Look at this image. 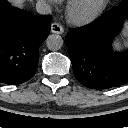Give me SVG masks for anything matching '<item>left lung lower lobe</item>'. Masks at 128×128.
<instances>
[{
    "instance_id": "1",
    "label": "left lung lower lobe",
    "mask_w": 128,
    "mask_h": 128,
    "mask_svg": "<svg viewBox=\"0 0 128 128\" xmlns=\"http://www.w3.org/2000/svg\"><path fill=\"white\" fill-rule=\"evenodd\" d=\"M128 17V3L66 36L73 72L84 86L106 89L128 82V51L114 53L111 41Z\"/></svg>"
}]
</instances>
